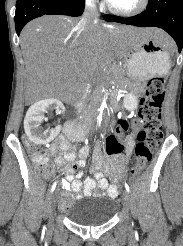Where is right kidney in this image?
<instances>
[{
  "mask_svg": "<svg viewBox=\"0 0 183 246\" xmlns=\"http://www.w3.org/2000/svg\"><path fill=\"white\" fill-rule=\"evenodd\" d=\"M56 109L58 113L64 112V106L56 99H45L33 104L27 111L24 119V129L28 138L35 144L42 145L54 139V130H45L41 124L46 120L45 113Z\"/></svg>",
  "mask_w": 183,
  "mask_h": 246,
  "instance_id": "right-kidney-1",
  "label": "right kidney"
}]
</instances>
